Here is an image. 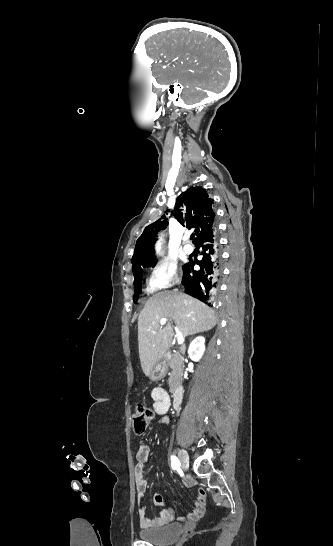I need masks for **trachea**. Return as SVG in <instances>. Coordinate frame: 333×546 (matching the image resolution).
Instances as JSON below:
<instances>
[{
    "label": "trachea",
    "mask_w": 333,
    "mask_h": 546,
    "mask_svg": "<svg viewBox=\"0 0 333 546\" xmlns=\"http://www.w3.org/2000/svg\"><path fill=\"white\" fill-rule=\"evenodd\" d=\"M193 238H194V234H192V235L190 236V239H191V240H192Z\"/></svg>",
    "instance_id": "trachea-1"
}]
</instances>
